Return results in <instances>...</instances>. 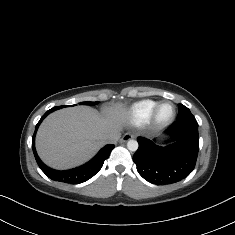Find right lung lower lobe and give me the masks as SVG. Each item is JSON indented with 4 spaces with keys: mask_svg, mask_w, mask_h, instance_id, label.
<instances>
[{
    "mask_svg": "<svg viewBox=\"0 0 235 235\" xmlns=\"http://www.w3.org/2000/svg\"><path fill=\"white\" fill-rule=\"evenodd\" d=\"M55 111L53 108L48 110L40 119V121L37 123L34 135L32 137V149L33 153L35 156V159L37 161L38 166L40 169L52 180L55 181H60V182H65V183H70V184H79L83 183L90 178H92L103 166L104 161L109 157L110 152L112 149L115 147L112 144H108L105 147H103L97 155L87 162L86 164L77 167L75 169L71 170H64V171H59V170H54L48 166H46L38 157L36 150H35V135L36 131L42 122V120L51 112Z\"/></svg>",
    "mask_w": 235,
    "mask_h": 235,
    "instance_id": "98d812e1",
    "label": "right lung lower lobe"
}]
</instances>
